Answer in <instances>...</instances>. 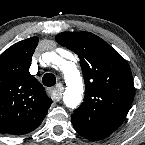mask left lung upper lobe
I'll return each mask as SVG.
<instances>
[{"label":"left lung upper lobe","instance_id":"left-lung-upper-lobe-1","mask_svg":"<svg viewBox=\"0 0 145 145\" xmlns=\"http://www.w3.org/2000/svg\"><path fill=\"white\" fill-rule=\"evenodd\" d=\"M56 41L75 52L85 79L84 102L71 119L111 134L126 118L134 97L132 73L126 60L89 32H62Z\"/></svg>","mask_w":145,"mask_h":145}]
</instances>
